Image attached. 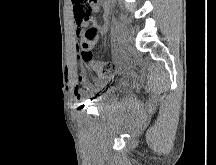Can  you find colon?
I'll return each mask as SVG.
<instances>
[{
	"instance_id": "colon-1",
	"label": "colon",
	"mask_w": 216,
	"mask_h": 165,
	"mask_svg": "<svg viewBox=\"0 0 216 165\" xmlns=\"http://www.w3.org/2000/svg\"><path fill=\"white\" fill-rule=\"evenodd\" d=\"M75 2H86V0H74ZM82 17L88 18L90 13H81ZM85 40L80 43L79 57L99 75H108L115 69L114 64L110 62H94L92 59L91 42L99 36V29L97 27H90L86 30Z\"/></svg>"
}]
</instances>
